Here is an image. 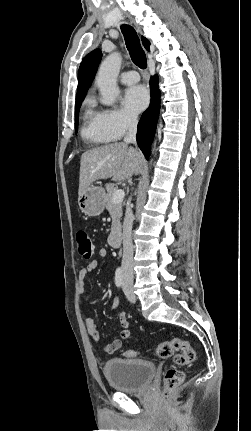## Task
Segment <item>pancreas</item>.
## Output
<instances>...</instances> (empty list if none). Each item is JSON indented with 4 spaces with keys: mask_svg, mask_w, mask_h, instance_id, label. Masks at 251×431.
Here are the masks:
<instances>
[{
    "mask_svg": "<svg viewBox=\"0 0 251 431\" xmlns=\"http://www.w3.org/2000/svg\"><path fill=\"white\" fill-rule=\"evenodd\" d=\"M105 206L112 218L111 231L115 232L121 228L120 219L122 217V203L115 204L112 201L113 194L118 190L114 184H106Z\"/></svg>",
    "mask_w": 251,
    "mask_h": 431,
    "instance_id": "cf45deb5",
    "label": "pancreas"
}]
</instances>
